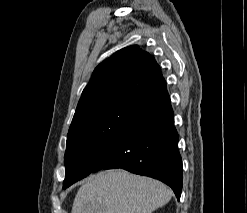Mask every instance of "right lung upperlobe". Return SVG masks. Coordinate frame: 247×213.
I'll return each instance as SVG.
<instances>
[{"instance_id":"cb5924a9","label":"right lung upper lobe","mask_w":247,"mask_h":213,"mask_svg":"<svg viewBox=\"0 0 247 213\" xmlns=\"http://www.w3.org/2000/svg\"><path fill=\"white\" fill-rule=\"evenodd\" d=\"M155 59L138 45L123 48L99 64L82 92L70 129L98 113L165 87Z\"/></svg>"}]
</instances>
